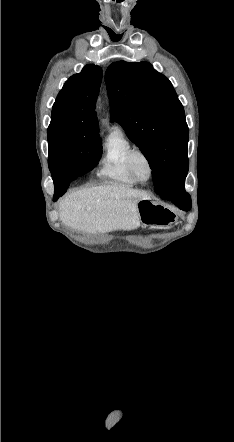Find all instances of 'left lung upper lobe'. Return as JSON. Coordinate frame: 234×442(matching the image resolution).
<instances>
[{"label":"left lung upper lobe","instance_id":"5c2ea615","mask_svg":"<svg viewBox=\"0 0 234 442\" xmlns=\"http://www.w3.org/2000/svg\"><path fill=\"white\" fill-rule=\"evenodd\" d=\"M111 121L118 122L150 164L155 192L184 189L189 130L171 82L147 62L118 61L106 70Z\"/></svg>","mask_w":234,"mask_h":442}]
</instances>
